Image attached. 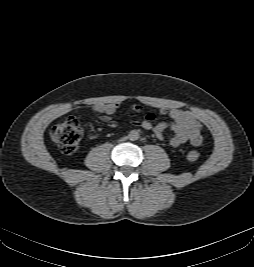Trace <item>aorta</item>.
I'll return each mask as SVG.
<instances>
[{"instance_id": "aorta-1", "label": "aorta", "mask_w": 254, "mask_h": 267, "mask_svg": "<svg viewBox=\"0 0 254 267\" xmlns=\"http://www.w3.org/2000/svg\"><path fill=\"white\" fill-rule=\"evenodd\" d=\"M139 133L136 130H132L129 132L128 138L132 141L138 140L139 139Z\"/></svg>"}]
</instances>
